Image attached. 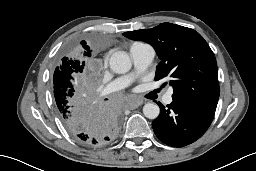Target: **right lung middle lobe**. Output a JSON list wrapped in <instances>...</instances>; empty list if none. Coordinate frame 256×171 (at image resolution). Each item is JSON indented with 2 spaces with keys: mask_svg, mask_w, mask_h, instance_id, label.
Instances as JSON below:
<instances>
[{
  "mask_svg": "<svg viewBox=\"0 0 256 171\" xmlns=\"http://www.w3.org/2000/svg\"><path fill=\"white\" fill-rule=\"evenodd\" d=\"M84 63L63 57L59 66L56 67L53 76L54 97L57 106L62 102L64 105L73 104L84 99L89 94L87 88L81 87L77 81L78 73L83 72Z\"/></svg>",
  "mask_w": 256,
  "mask_h": 171,
  "instance_id": "dd1d6c3e",
  "label": "right lung middle lobe"
}]
</instances>
